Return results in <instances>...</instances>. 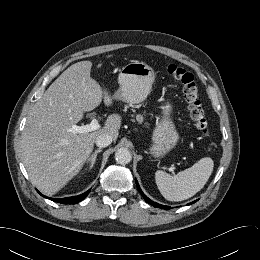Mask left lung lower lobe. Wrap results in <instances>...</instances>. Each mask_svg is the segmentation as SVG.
<instances>
[{
	"label": "left lung lower lobe",
	"instance_id": "0a47b994",
	"mask_svg": "<svg viewBox=\"0 0 260 260\" xmlns=\"http://www.w3.org/2000/svg\"><path fill=\"white\" fill-rule=\"evenodd\" d=\"M136 185H137V189L139 190V192L141 193V195L143 196V198L145 199V201L147 202V203H150L151 205H153L154 207H159V208H161V209H169L170 207H168V206H164V205H161V204H158V203H156V202H153V201H151L142 191H141V189H140V187H139V185H138V182H137V180H136ZM194 202H196V201H194ZM194 202H192V203H194ZM192 203H190V204H192ZM190 204H188V205H190Z\"/></svg>",
	"mask_w": 260,
	"mask_h": 260
}]
</instances>
